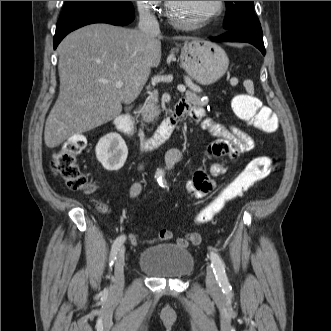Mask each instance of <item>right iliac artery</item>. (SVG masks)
<instances>
[{
	"mask_svg": "<svg viewBox=\"0 0 331 331\" xmlns=\"http://www.w3.org/2000/svg\"><path fill=\"white\" fill-rule=\"evenodd\" d=\"M125 240H126L125 235H121V236L117 237L116 240L114 241L112 248H111V253H110V266L113 265V263L116 259V256H117L121 246L125 242Z\"/></svg>",
	"mask_w": 331,
	"mask_h": 331,
	"instance_id": "1",
	"label": "right iliac artery"
}]
</instances>
